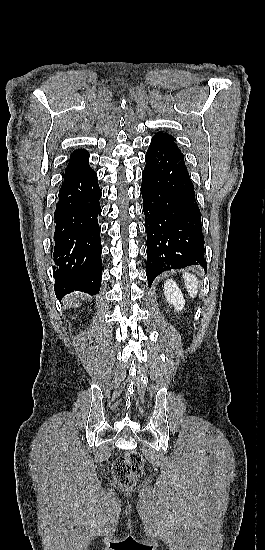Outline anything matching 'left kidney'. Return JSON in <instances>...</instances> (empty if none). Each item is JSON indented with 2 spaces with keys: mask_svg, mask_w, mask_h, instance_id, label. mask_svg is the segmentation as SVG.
Masks as SVG:
<instances>
[{
  "mask_svg": "<svg viewBox=\"0 0 265 550\" xmlns=\"http://www.w3.org/2000/svg\"><path fill=\"white\" fill-rule=\"evenodd\" d=\"M164 295L167 302L175 307L177 312L185 306V300L178 285L173 280H167L164 284Z\"/></svg>",
  "mask_w": 265,
  "mask_h": 550,
  "instance_id": "left-kidney-1",
  "label": "left kidney"
}]
</instances>
